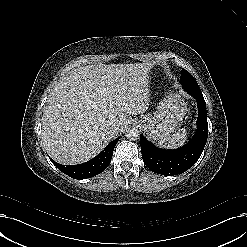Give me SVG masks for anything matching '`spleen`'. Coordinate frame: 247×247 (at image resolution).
Segmentation results:
<instances>
[{"label":"spleen","mask_w":247,"mask_h":247,"mask_svg":"<svg viewBox=\"0 0 247 247\" xmlns=\"http://www.w3.org/2000/svg\"><path fill=\"white\" fill-rule=\"evenodd\" d=\"M187 140V131L185 128H182L173 135H169L166 138L158 141V145L163 148L173 149L184 145Z\"/></svg>","instance_id":"obj_1"}]
</instances>
